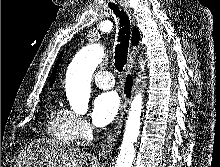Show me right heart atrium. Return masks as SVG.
Masks as SVG:
<instances>
[{
    "label": "right heart atrium",
    "mask_w": 220,
    "mask_h": 167,
    "mask_svg": "<svg viewBox=\"0 0 220 167\" xmlns=\"http://www.w3.org/2000/svg\"><path fill=\"white\" fill-rule=\"evenodd\" d=\"M67 112L75 139H87L91 134V127L87 119L77 113Z\"/></svg>",
    "instance_id": "obj_1"
}]
</instances>
